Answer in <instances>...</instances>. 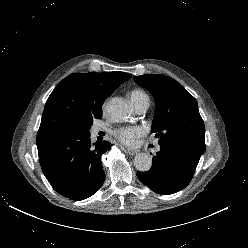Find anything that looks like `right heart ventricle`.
<instances>
[{"label":"right heart ventricle","mask_w":248,"mask_h":248,"mask_svg":"<svg viewBox=\"0 0 248 248\" xmlns=\"http://www.w3.org/2000/svg\"><path fill=\"white\" fill-rule=\"evenodd\" d=\"M131 100L132 102H135L137 100H140V99H144V98H148V95L141 89H134L131 91Z\"/></svg>","instance_id":"right-heart-ventricle-1"}]
</instances>
